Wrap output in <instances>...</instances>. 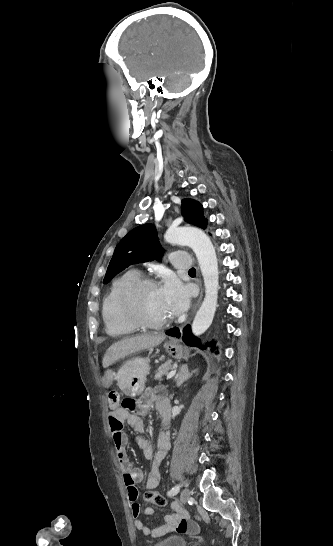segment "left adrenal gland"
Segmentation results:
<instances>
[{"label":"left adrenal gland","instance_id":"obj_1","mask_svg":"<svg viewBox=\"0 0 333 546\" xmlns=\"http://www.w3.org/2000/svg\"><path fill=\"white\" fill-rule=\"evenodd\" d=\"M192 376V373L189 372L188 366L183 365L179 372L175 376L176 385L179 387L181 386L186 380H188Z\"/></svg>","mask_w":333,"mask_h":546}]
</instances>
